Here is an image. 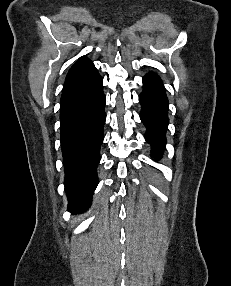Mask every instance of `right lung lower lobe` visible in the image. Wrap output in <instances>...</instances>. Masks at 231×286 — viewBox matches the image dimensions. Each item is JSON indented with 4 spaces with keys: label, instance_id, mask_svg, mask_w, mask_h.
Wrapping results in <instances>:
<instances>
[{
    "label": "right lung lower lobe",
    "instance_id": "right-lung-lower-lobe-1",
    "mask_svg": "<svg viewBox=\"0 0 231 286\" xmlns=\"http://www.w3.org/2000/svg\"><path fill=\"white\" fill-rule=\"evenodd\" d=\"M103 80L97 70L65 80L61 96V146L68 211L88 209L98 184L105 123Z\"/></svg>",
    "mask_w": 231,
    "mask_h": 286
}]
</instances>
